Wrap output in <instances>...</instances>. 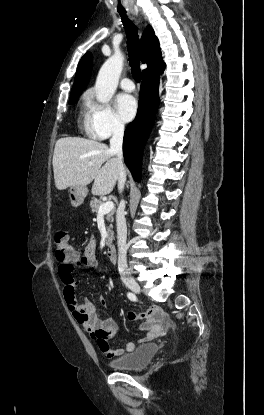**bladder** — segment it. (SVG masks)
I'll list each match as a JSON object with an SVG mask.
<instances>
[{
	"instance_id": "obj_1",
	"label": "bladder",
	"mask_w": 264,
	"mask_h": 415,
	"mask_svg": "<svg viewBox=\"0 0 264 415\" xmlns=\"http://www.w3.org/2000/svg\"><path fill=\"white\" fill-rule=\"evenodd\" d=\"M159 346L151 343L141 345L130 353L113 359L109 365L118 370H139L147 367L157 354Z\"/></svg>"
}]
</instances>
